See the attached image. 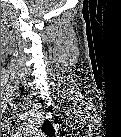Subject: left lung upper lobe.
Here are the masks:
<instances>
[{"mask_svg": "<svg viewBox=\"0 0 121 137\" xmlns=\"http://www.w3.org/2000/svg\"><path fill=\"white\" fill-rule=\"evenodd\" d=\"M42 130L48 135L54 131L53 126L48 120L45 122L44 126H42Z\"/></svg>", "mask_w": 121, "mask_h": 137, "instance_id": "1", "label": "left lung upper lobe"}]
</instances>
